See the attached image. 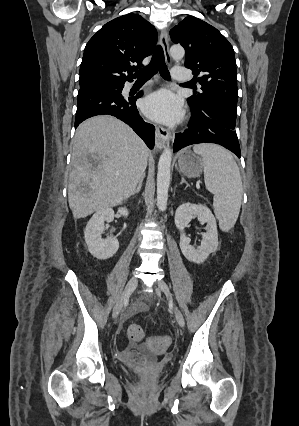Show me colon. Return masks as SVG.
Masks as SVG:
<instances>
[{"instance_id": "colon-1", "label": "colon", "mask_w": 299, "mask_h": 426, "mask_svg": "<svg viewBox=\"0 0 299 426\" xmlns=\"http://www.w3.org/2000/svg\"><path fill=\"white\" fill-rule=\"evenodd\" d=\"M128 337L131 341L141 342L144 339L143 329L138 324H131L127 330ZM169 336H156L147 338L144 341V346L155 353L165 352L171 345Z\"/></svg>"}]
</instances>
